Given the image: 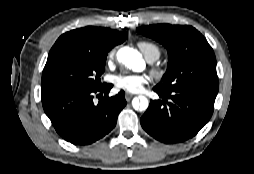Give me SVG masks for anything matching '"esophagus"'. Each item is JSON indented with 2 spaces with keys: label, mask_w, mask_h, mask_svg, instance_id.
Listing matches in <instances>:
<instances>
[{
  "label": "esophagus",
  "mask_w": 254,
  "mask_h": 174,
  "mask_svg": "<svg viewBox=\"0 0 254 174\" xmlns=\"http://www.w3.org/2000/svg\"><path fill=\"white\" fill-rule=\"evenodd\" d=\"M126 100L127 101H130L133 97H134V95L133 94H131V93H126Z\"/></svg>",
  "instance_id": "1"
}]
</instances>
